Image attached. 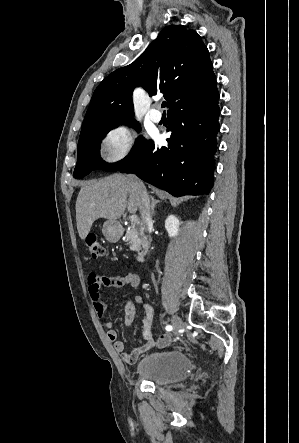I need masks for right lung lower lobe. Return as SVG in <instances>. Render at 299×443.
I'll return each mask as SVG.
<instances>
[{
  "label": "right lung lower lobe",
  "mask_w": 299,
  "mask_h": 443,
  "mask_svg": "<svg viewBox=\"0 0 299 443\" xmlns=\"http://www.w3.org/2000/svg\"><path fill=\"white\" fill-rule=\"evenodd\" d=\"M219 93L215 74L178 98L170 107L168 146L150 141L139 157L122 168L178 197L209 193L213 185V155L219 131Z\"/></svg>",
  "instance_id": "obj_1"
}]
</instances>
